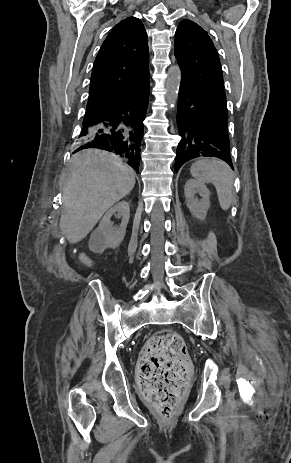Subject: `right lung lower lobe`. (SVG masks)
<instances>
[{"mask_svg":"<svg viewBox=\"0 0 291 463\" xmlns=\"http://www.w3.org/2000/svg\"><path fill=\"white\" fill-rule=\"evenodd\" d=\"M149 85L134 92L117 108L83 120L80 147L103 149L121 156L137 172L144 134V118L148 106Z\"/></svg>","mask_w":291,"mask_h":463,"instance_id":"1","label":"right lung lower lobe"}]
</instances>
